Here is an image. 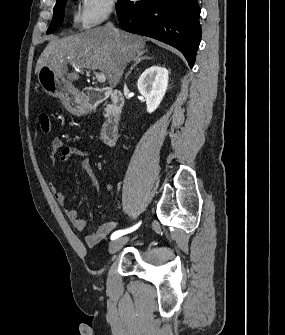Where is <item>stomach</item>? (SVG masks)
<instances>
[{
  "mask_svg": "<svg viewBox=\"0 0 285 335\" xmlns=\"http://www.w3.org/2000/svg\"><path fill=\"white\" fill-rule=\"evenodd\" d=\"M37 78L46 94L53 96V98H59L70 110H76V112L83 110L85 98L57 70L50 68V66H42L37 74Z\"/></svg>",
  "mask_w": 285,
  "mask_h": 335,
  "instance_id": "obj_1",
  "label": "stomach"
}]
</instances>
